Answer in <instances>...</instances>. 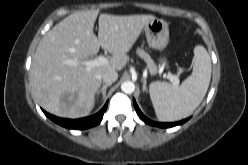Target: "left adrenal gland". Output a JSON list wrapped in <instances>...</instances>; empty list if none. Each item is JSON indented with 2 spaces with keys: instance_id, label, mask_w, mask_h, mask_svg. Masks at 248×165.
I'll return each instance as SVG.
<instances>
[{
  "instance_id": "a2214340",
  "label": "left adrenal gland",
  "mask_w": 248,
  "mask_h": 165,
  "mask_svg": "<svg viewBox=\"0 0 248 165\" xmlns=\"http://www.w3.org/2000/svg\"><path fill=\"white\" fill-rule=\"evenodd\" d=\"M142 81H143V88H142V90H143V92H147V87H146V84H147V81H146V79H142Z\"/></svg>"
}]
</instances>
